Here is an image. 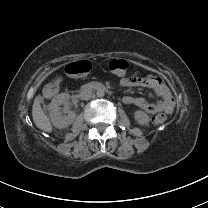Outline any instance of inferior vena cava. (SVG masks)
Returning a JSON list of instances; mask_svg holds the SVG:
<instances>
[{"label": "inferior vena cava", "instance_id": "602c4592", "mask_svg": "<svg viewBox=\"0 0 208 208\" xmlns=\"http://www.w3.org/2000/svg\"><path fill=\"white\" fill-rule=\"evenodd\" d=\"M79 97L82 100H89L92 98V91L88 88H82Z\"/></svg>", "mask_w": 208, "mask_h": 208}]
</instances>
